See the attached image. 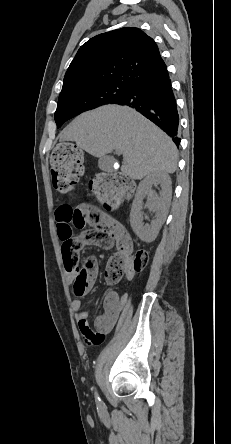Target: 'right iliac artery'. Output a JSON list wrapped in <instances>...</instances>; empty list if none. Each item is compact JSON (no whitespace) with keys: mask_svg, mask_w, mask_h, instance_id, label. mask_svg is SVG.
Instances as JSON below:
<instances>
[{"mask_svg":"<svg viewBox=\"0 0 231 444\" xmlns=\"http://www.w3.org/2000/svg\"><path fill=\"white\" fill-rule=\"evenodd\" d=\"M100 401H101V400H100L98 394L96 393V402H97V403H100Z\"/></svg>","mask_w":231,"mask_h":444,"instance_id":"1","label":"right iliac artery"}]
</instances>
